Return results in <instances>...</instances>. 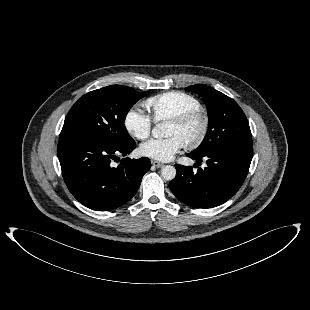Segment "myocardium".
<instances>
[{
  "instance_id": "f54148a6",
  "label": "myocardium",
  "mask_w": 310,
  "mask_h": 310,
  "mask_svg": "<svg viewBox=\"0 0 310 310\" xmlns=\"http://www.w3.org/2000/svg\"><path fill=\"white\" fill-rule=\"evenodd\" d=\"M195 120H199L201 122V130L195 139L184 143L185 146L189 149L198 148L206 140L210 128V120L208 114L203 109L197 108L186 111L168 120L169 123L177 126H186Z\"/></svg>"
}]
</instances>
